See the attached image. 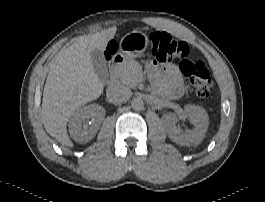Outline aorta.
Instances as JSON below:
<instances>
[{
    "mask_svg": "<svg viewBox=\"0 0 265 202\" xmlns=\"http://www.w3.org/2000/svg\"><path fill=\"white\" fill-rule=\"evenodd\" d=\"M131 107L135 111H140L144 108V101L141 98H133L131 101Z\"/></svg>",
    "mask_w": 265,
    "mask_h": 202,
    "instance_id": "aorta-1",
    "label": "aorta"
}]
</instances>
